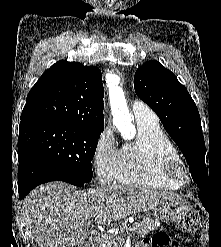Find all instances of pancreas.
<instances>
[{"label":"pancreas","instance_id":"1","mask_svg":"<svg viewBox=\"0 0 221 247\" xmlns=\"http://www.w3.org/2000/svg\"><path fill=\"white\" fill-rule=\"evenodd\" d=\"M154 229V222L147 218L143 221L135 222L131 226H123L118 236H107L101 243L100 247H122L125 242L126 233H135L137 237H145Z\"/></svg>","mask_w":221,"mask_h":247}]
</instances>
